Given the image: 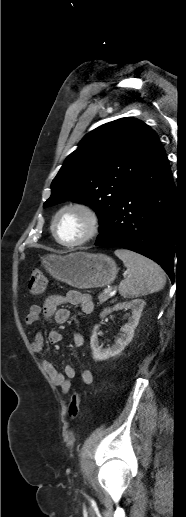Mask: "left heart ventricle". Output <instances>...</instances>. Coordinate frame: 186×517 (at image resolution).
<instances>
[{
	"label": "left heart ventricle",
	"instance_id": "1",
	"mask_svg": "<svg viewBox=\"0 0 186 517\" xmlns=\"http://www.w3.org/2000/svg\"><path fill=\"white\" fill-rule=\"evenodd\" d=\"M87 227V220L82 213L66 211L58 218L56 232L62 241L73 242L86 232Z\"/></svg>",
	"mask_w": 186,
	"mask_h": 517
}]
</instances>
